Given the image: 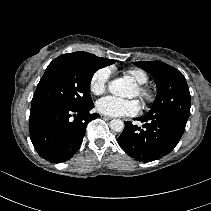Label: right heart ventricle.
I'll list each match as a JSON object with an SVG mask.
<instances>
[{"label": "right heart ventricle", "instance_id": "e07e8e85", "mask_svg": "<svg viewBox=\"0 0 211 211\" xmlns=\"http://www.w3.org/2000/svg\"><path fill=\"white\" fill-rule=\"evenodd\" d=\"M125 74L132 77L139 85H144L149 80L148 74L139 68L128 69Z\"/></svg>", "mask_w": 211, "mask_h": 211}]
</instances>
